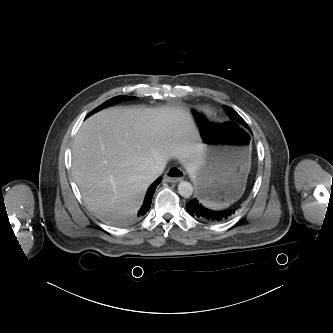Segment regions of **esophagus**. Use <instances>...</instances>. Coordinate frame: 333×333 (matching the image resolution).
Returning a JSON list of instances; mask_svg holds the SVG:
<instances>
[{"mask_svg": "<svg viewBox=\"0 0 333 333\" xmlns=\"http://www.w3.org/2000/svg\"><path fill=\"white\" fill-rule=\"evenodd\" d=\"M184 175L185 172L183 170H181L180 168L172 167L166 172L164 180L166 182L175 183L181 181Z\"/></svg>", "mask_w": 333, "mask_h": 333, "instance_id": "1", "label": "esophagus"}]
</instances>
